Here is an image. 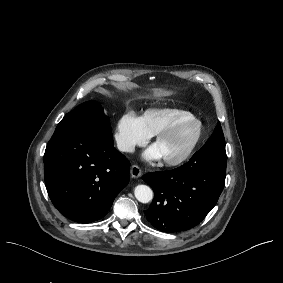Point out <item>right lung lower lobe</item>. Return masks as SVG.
I'll return each instance as SVG.
<instances>
[{
	"label": "right lung lower lobe",
	"instance_id": "obj_1",
	"mask_svg": "<svg viewBox=\"0 0 283 283\" xmlns=\"http://www.w3.org/2000/svg\"><path fill=\"white\" fill-rule=\"evenodd\" d=\"M130 162L113 146L112 135L55 131L44 154L48 195L67 218L90 223L103 218L128 184Z\"/></svg>",
	"mask_w": 283,
	"mask_h": 283
}]
</instances>
